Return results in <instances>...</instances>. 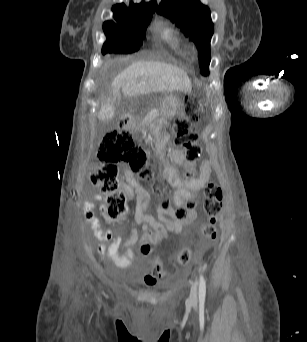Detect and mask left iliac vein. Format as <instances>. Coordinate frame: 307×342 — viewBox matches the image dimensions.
<instances>
[{"mask_svg":"<svg viewBox=\"0 0 307 342\" xmlns=\"http://www.w3.org/2000/svg\"><path fill=\"white\" fill-rule=\"evenodd\" d=\"M189 299H190V301H192L193 303H196V301H197V288H196L195 285L192 287V290H191V294H190Z\"/></svg>","mask_w":307,"mask_h":342,"instance_id":"1","label":"left iliac vein"}]
</instances>
